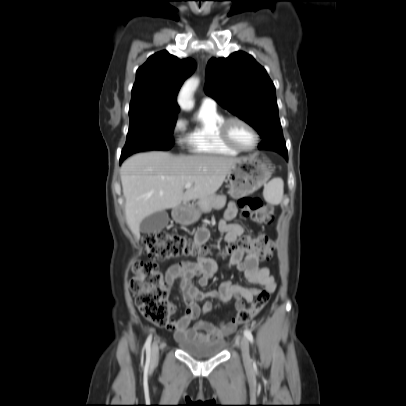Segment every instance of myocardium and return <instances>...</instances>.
Instances as JSON below:
<instances>
[{
    "instance_id": "myocardium-1",
    "label": "myocardium",
    "mask_w": 406,
    "mask_h": 406,
    "mask_svg": "<svg viewBox=\"0 0 406 406\" xmlns=\"http://www.w3.org/2000/svg\"><path fill=\"white\" fill-rule=\"evenodd\" d=\"M233 122H239L243 125H245L246 127H248L250 129V131L253 133L254 137H255V142L254 145L250 148H242L240 146H238L230 137L229 134V127L230 124ZM219 133H220V138L221 140L224 142V144H226L228 147L238 151V152H250L253 151L254 149H256V147L259 144V140H260V136L258 131L256 130V128L247 120H245L242 117L239 116H229L224 118V120L221 122L220 127H219Z\"/></svg>"
}]
</instances>
